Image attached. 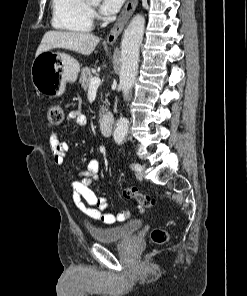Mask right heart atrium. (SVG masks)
<instances>
[{"instance_id": "1", "label": "right heart atrium", "mask_w": 247, "mask_h": 296, "mask_svg": "<svg viewBox=\"0 0 247 296\" xmlns=\"http://www.w3.org/2000/svg\"><path fill=\"white\" fill-rule=\"evenodd\" d=\"M91 16H95V12L94 11H91Z\"/></svg>"}]
</instances>
